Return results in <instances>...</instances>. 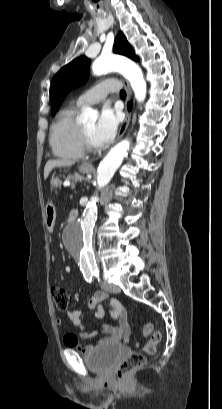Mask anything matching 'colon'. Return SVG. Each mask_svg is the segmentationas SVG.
<instances>
[{
    "label": "colon",
    "mask_w": 222,
    "mask_h": 409,
    "mask_svg": "<svg viewBox=\"0 0 222 409\" xmlns=\"http://www.w3.org/2000/svg\"><path fill=\"white\" fill-rule=\"evenodd\" d=\"M52 296L57 309L66 310L68 308L71 297L67 290L53 287ZM142 331L144 335L147 336L152 333V336L144 346V353H132L120 364L116 374V379L119 382H125L131 372L143 366L146 362V355H153L156 352L157 345L161 340L160 331L153 330V326L150 323L143 325Z\"/></svg>",
    "instance_id": "colon-1"
}]
</instances>
